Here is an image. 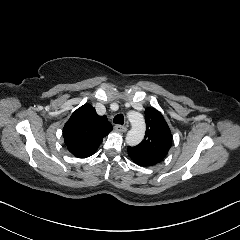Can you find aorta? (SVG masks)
Listing matches in <instances>:
<instances>
[{"label":"aorta","mask_w":240,"mask_h":240,"mask_svg":"<svg viewBox=\"0 0 240 240\" xmlns=\"http://www.w3.org/2000/svg\"><path fill=\"white\" fill-rule=\"evenodd\" d=\"M129 120L131 122V129L129 130L126 140L130 145H136L140 143L145 134V121L140 113L131 112L129 114Z\"/></svg>","instance_id":"1"}]
</instances>
